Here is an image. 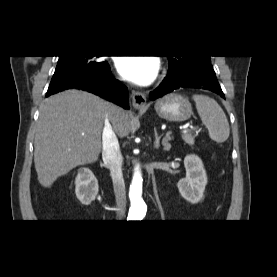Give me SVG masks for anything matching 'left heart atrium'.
<instances>
[{"instance_id": "1", "label": "left heart atrium", "mask_w": 277, "mask_h": 277, "mask_svg": "<svg viewBox=\"0 0 277 277\" xmlns=\"http://www.w3.org/2000/svg\"><path fill=\"white\" fill-rule=\"evenodd\" d=\"M116 68L123 79L138 85H147L156 77L159 63L152 57H120Z\"/></svg>"}]
</instances>
